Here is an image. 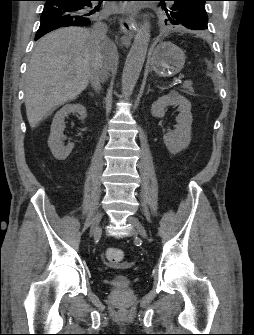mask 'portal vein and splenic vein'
<instances>
[{
    "label": "portal vein and splenic vein",
    "mask_w": 254,
    "mask_h": 335,
    "mask_svg": "<svg viewBox=\"0 0 254 335\" xmlns=\"http://www.w3.org/2000/svg\"><path fill=\"white\" fill-rule=\"evenodd\" d=\"M182 78L183 77H179V78L175 79V83H181L182 82Z\"/></svg>",
    "instance_id": "1"
}]
</instances>
